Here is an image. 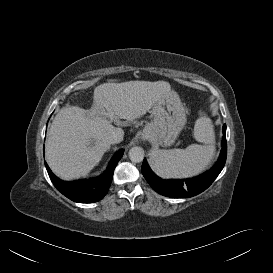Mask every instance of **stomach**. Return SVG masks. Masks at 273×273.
<instances>
[{
  "instance_id": "stomach-1",
  "label": "stomach",
  "mask_w": 273,
  "mask_h": 273,
  "mask_svg": "<svg viewBox=\"0 0 273 273\" xmlns=\"http://www.w3.org/2000/svg\"><path fill=\"white\" fill-rule=\"evenodd\" d=\"M153 120L143 130V136L157 146L172 145L186 124V112L178 94L170 90L151 109Z\"/></svg>"
}]
</instances>
